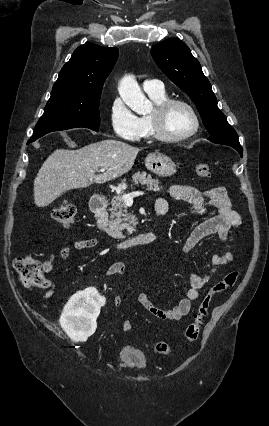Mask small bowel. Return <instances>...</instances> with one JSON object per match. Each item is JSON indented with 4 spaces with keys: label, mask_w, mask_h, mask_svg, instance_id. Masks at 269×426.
<instances>
[{
    "label": "small bowel",
    "mask_w": 269,
    "mask_h": 426,
    "mask_svg": "<svg viewBox=\"0 0 269 426\" xmlns=\"http://www.w3.org/2000/svg\"><path fill=\"white\" fill-rule=\"evenodd\" d=\"M168 194L171 198L179 201L187 202L194 206L195 210L204 215L210 208L215 209L217 214L206 218L197 225L185 241L183 252L192 251L204 238L217 234L223 242L229 239L230 230L241 224L240 215L233 209L232 203L227 195L225 188L214 187L201 191L195 187L184 185H172L168 188ZM156 211L158 208H167V204L163 199H157L155 203ZM98 240L96 238L75 239L68 245L62 247L60 257L67 260L70 255V249L87 250L96 247ZM234 252L225 250L219 255H215L210 262V274L200 276L196 274L190 275V287L186 290L185 296L179 299L175 306L169 309H161L157 307L147 294L138 296V303L152 316L160 320L174 321L186 316L191 309L192 302L199 297L200 290L208 283L211 274L217 269L224 267L234 260ZM54 254H49L42 262L44 273H49L53 269ZM126 268L122 262H114L106 270L107 276L125 275ZM55 283L53 280L46 279L43 288L46 289L43 298L48 300L54 294ZM113 304L117 307L123 304V299L116 296Z\"/></svg>",
    "instance_id": "obj_1"
}]
</instances>
